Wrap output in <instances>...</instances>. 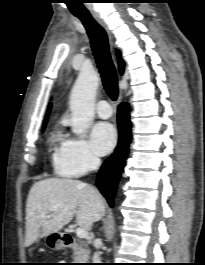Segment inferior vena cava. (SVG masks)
<instances>
[{
	"label": "inferior vena cava",
	"instance_id": "obj_1",
	"mask_svg": "<svg viewBox=\"0 0 205 265\" xmlns=\"http://www.w3.org/2000/svg\"><path fill=\"white\" fill-rule=\"evenodd\" d=\"M99 165H100V159L98 157L92 156L90 158V165H89L90 168L92 170H97ZM93 263H100V256L97 252L94 253L93 255Z\"/></svg>",
	"mask_w": 205,
	"mask_h": 265
}]
</instances>
